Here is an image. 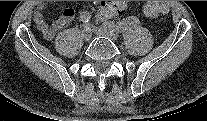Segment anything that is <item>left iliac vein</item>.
<instances>
[{"label":"left iliac vein","instance_id":"obj_1","mask_svg":"<svg viewBox=\"0 0 207 121\" xmlns=\"http://www.w3.org/2000/svg\"><path fill=\"white\" fill-rule=\"evenodd\" d=\"M91 29L96 35L107 37V38L111 39L112 41H117L119 38L118 31L112 27L107 26V25H104L101 27L92 26Z\"/></svg>","mask_w":207,"mask_h":121}]
</instances>
